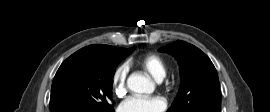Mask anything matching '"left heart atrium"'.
I'll return each instance as SVG.
<instances>
[{"instance_id":"39dd6f15","label":"left heart atrium","mask_w":270,"mask_h":112,"mask_svg":"<svg viewBox=\"0 0 270 112\" xmlns=\"http://www.w3.org/2000/svg\"><path fill=\"white\" fill-rule=\"evenodd\" d=\"M166 102L162 97L133 96L124 100L119 106V112H163Z\"/></svg>"}]
</instances>
